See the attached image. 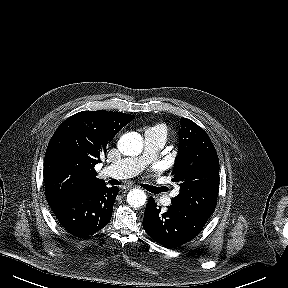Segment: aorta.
I'll use <instances>...</instances> for the list:
<instances>
[{
    "label": "aorta",
    "instance_id": "aorta-1",
    "mask_svg": "<svg viewBox=\"0 0 288 288\" xmlns=\"http://www.w3.org/2000/svg\"><path fill=\"white\" fill-rule=\"evenodd\" d=\"M118 149L127 156H137L142 152L143 139L137 132L124 134L118 141ZM146 194L141 189H133L127 195V202L133 208H139L146 202Z\"/></svg>",
    "mask_w": 288,
    "mask_h": 288
}]
</instances>
